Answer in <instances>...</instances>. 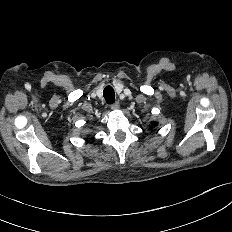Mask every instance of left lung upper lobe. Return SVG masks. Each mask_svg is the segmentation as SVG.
Returning a JSON list of instances; mask_svg holds the SVG:
<instances>
[{"instance_id": "obj_1", "label": "left lung upper lobe", "mask_w": 232, "mask_h": 232, "mask_svg": "<svg viewBox=\"0 0 232 232\" xmlns=\"http://www.w3.org/2000/svg\"><path fill=\"white\" fill-rule=\"evenodd\" d=\"M156 125H157V123H156V122H153V123H152V126H151V128H150V129H152V128L156 127Z\"/></svg>"}]
</instances>
